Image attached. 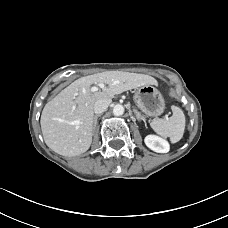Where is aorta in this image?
<instances>
[{
	"label": "aorta",
	"instance_id": "762f6f07",
	"mask_svg": "<svg viewBox=\"0 0 228 228\" xmlns=\"http://www.w3.org/2000/svg\"><path fill=\"white\" fill-rule=\"evenodd\" d=\"M124 113V107L120 104H116L114 107H113V114L115 116H120V115H123Z\"/></svg>",
	"mask_w": 228,
	"mask_h": 228
}]
</instances>
